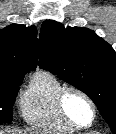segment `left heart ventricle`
I'll return each mask as SVG.
<instances>
[{
    "label": "left heart ventricle",
    "instance_id": "b2bd125f",
    "mask_svg": "<svg viewBox=\"0 0 116 134\" xmlns=\"http://www.w3.org/2000/svg\"><path fill=\"white\" fill-rule=\"evenodd\" d=\"M66 109L69 115L79 124L87 125L92 120V110L89 104L78 94L71 93L68 95Z\"/></svg>",
    "mask_w": 116,
    "mask_h": 134
}]
</instances>
